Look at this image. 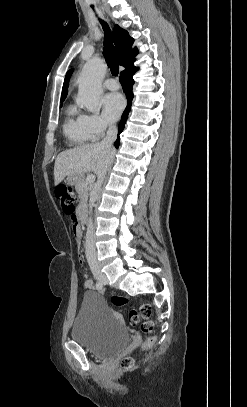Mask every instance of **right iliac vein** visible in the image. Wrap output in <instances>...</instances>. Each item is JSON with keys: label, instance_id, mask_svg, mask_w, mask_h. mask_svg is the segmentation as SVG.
Returning a JSON list of instances; mask_svg holds the SVG:
<instances>
[{"label": "right iliac vein", "instance_id": "obj_1", "mask_svg": "<svg viewBox=\"0 0 247 407\" xmlns=\"http://www.w3.org/2000/svg\"><path fill=\"white\" fill-rule=\"evenodd\" d=\"M91 270L93 275L99 282L104 284L108 282L107 277L100 271V268L97 264L91 265Z\"/></svg>", "mask_w": 247, "mask_h": 407}]
</instances>
